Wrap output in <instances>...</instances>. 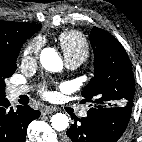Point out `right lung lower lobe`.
<instances>
[{
  "label": "right lung lower lobe",
  "instance_id": "1",
  "mask_svg": "<svg viewBox=\"0 0 142 142\" xmlns=\"http://www.w3.org/2000/svg\"><path fill=\"white\" fill-rule=\"evenodd\" d=\"M39 116L40 112L29 106L14 111L7 98L0 100V142H25L29 123Z\"/></svg>",
  "mask_w": 142,
  "mask_h": 142
}]
</instances>
